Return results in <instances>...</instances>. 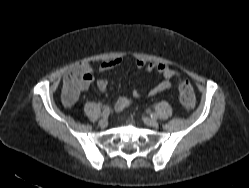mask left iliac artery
<instances>
[{"label":"left iliac artery","mask_w":249,"mask_h":188,"mask_svg":"<svg viewBox=\"0 0 249 188\" xmlns=\"http://www.w3.org/2000/svg\"><path fill=\"white\" fill-rule=\"evenodd\" d=\"M151 118H156V114L155 113H150Z\"/></svg>","instance_id":"44dca946"}]
</instances>
